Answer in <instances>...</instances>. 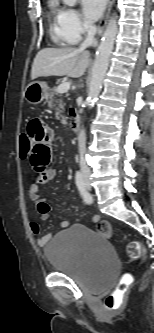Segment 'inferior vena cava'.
I'll return each instance as SVG.
<instances>
[{"instance_id": "inferior-vena-cava-1", "label": "inferior vena cava", "mask_w": 154, "mask_h": 333, "mask_svg": "<svg viewBox=\"0 0 154 333\" xmlns=\"http://www.w3.org/2000/svg\"><path fill=\"white\" fill-rule=\"evenodd\" d=\"M85 28L87 31V37L83 41V43L80 45V47H79L80 50H84L89 46L96 45V39H95L96 27L92 24H86ZM85 152H86V134H85V130L82 129L81 132L79 133L80 170L83 174H89L90 169L87 166L86 161H85V157H84Z\"/></svg>"}]
</instances>
